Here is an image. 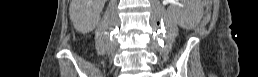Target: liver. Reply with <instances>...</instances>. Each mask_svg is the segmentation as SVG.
<instances>
[{"label":"liver","mask_w":258,"mask_h":77,"mask_svg":"<svg viewBox=\"0 0 258 77\" xmlns=\"http://www.w3.org/2000/svg\"><path fill=\"white\" fill-rule=\"evenodd\" d=\"M87 2L88 0H71L69 13L74 23L86 26L93 20L92 13L86 9Z\"/></svg>","instance_id":"6515ba94"}]
</instances>
